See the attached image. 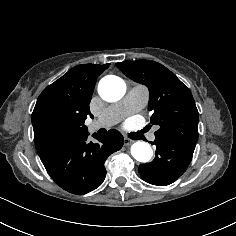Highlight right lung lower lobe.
Wrapping results in <instances>:
<instances>
[{
  "label": "right lung lower lobe",
  "mask_w": 236,
  "mask_h": 236,
  "mask_svg": "<svg viewBox=\"0 0 236 236\" xmlns=\"http://www.w3.org/2000/svg\"><path fill=\"white\" fill-rule=\"evenodd\" d=\"M87 137L86 131L36 146L51 178L70 193L85 194L96 189L106 176L105 160L124 143L117 130H110L104 137L94 135L99 143L87 142Z\"/></svg>",
  "instance_id": "obj_1"
}]
</instances>
